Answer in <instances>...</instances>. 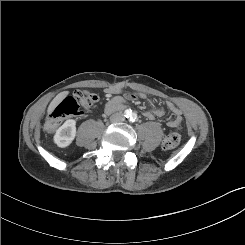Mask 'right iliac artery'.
Returning a JSON list of instances; mask_svg holds the SVG:
<instances>
[{"label": "right iliac artery", "mask_w": 245, "mask_h": 245, "mask_svg": "<svg viewBox=\"0 0 245 245\" xmlns=\"http://www.w3.org/2000/svg\"><path fill=\"white\" fill-rule=\"evenodd\" d=\"M124 114H125V117H127V118L130 117L131 116V110H126Z\"/></svg>", "instance_id": "1"}]
</instances>
